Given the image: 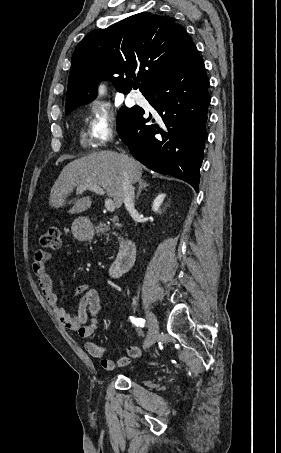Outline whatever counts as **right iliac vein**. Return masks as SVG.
Listing matches in <instances>:
<instances>
[{"label": "right iliac vein", "mask_w": 281, "mask_h": 453, "mask_svg": "<svg viewBox=\"0 0 281 453\" xmlns=\"http://www.w3.org/2000/svg\"><path fill=\"white\" fill-rule=\"evenodd\" d=\"M144 314L146 316L149 314L147 316V319L150 321L153 328H151L149 337L147 338L146 342L144 343V345L142 347L151 348V346H154V341L158 339L160 324H159L158 320L154 317V314L151 311L149 313L146 311Z\"/></svg>", "instance_id": "1"}]
</instances>
